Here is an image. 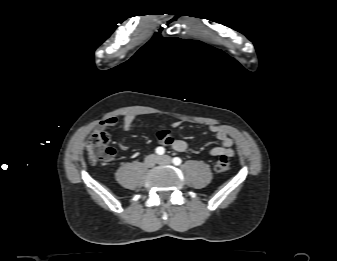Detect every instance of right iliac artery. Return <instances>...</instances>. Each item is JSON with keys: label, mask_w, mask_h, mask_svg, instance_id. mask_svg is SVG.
Wrapping results in <instances>:
<instances>
[{"label": "right iliac artery", "mask_w": 337, "mask_h": 261, "mask_svg": "<svg viewBox=\"0 0 337 261\" xmlns=\"http://www.w3.org/2000/svg\"><path fill=\"white\" fill-rule=\"evenodd\" d=\"M155 152L158 154V155H163L165 153V149L163 147H157Z\"/></svg>", "instance_id": "right-iliac-artery-1"}]
</instances>
